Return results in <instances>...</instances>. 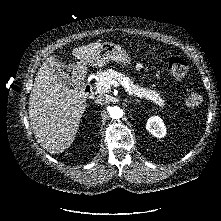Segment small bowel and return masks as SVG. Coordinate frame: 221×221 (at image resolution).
<instances>
[{
	"label": "small bowel",
	"instance_id": "small-bowel-1",
	"mask_svg": "<svg viewBox=\"0 0 221 221\" xmlns=\"http://www.w3.org/2000/svg\"><path fill=\"white\" fill-rule=\"evenodd\" d=\"M143 66L141 64H136V69H141Z\"/></svg>",
	"mask_w": 221,
	"mask_h": 221
}]
</instances>
